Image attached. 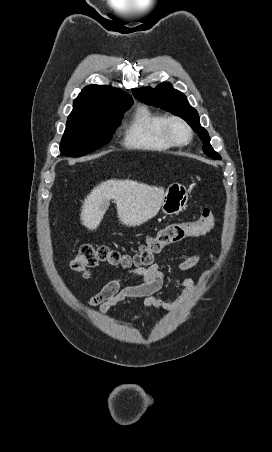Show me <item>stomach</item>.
Wrapping results in <instances>:
<instances>
[{"mask_svg":"<svg viewBox=\"0 0 272 452\" xmlns=\"http://www.w3.org/2000/svg\"><path fill=\"white\" fill-rule=\"evenodd\" d=\"M189 192L186 186L172 183L166 190L162 202V212L165 215H175L187 207Z\"/></svg>","mask_w":272,"mask_h":452,"instance_id":"stomach-1","label":"stomach"}]
</instances>
